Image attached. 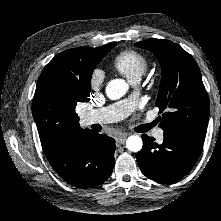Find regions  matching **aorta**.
<instances>
[{
  "mask_svg": "<svg viewBox=\"0 0 221 221\" xmlns=\"http://www.w3.org/2000/svg\"><path fill=\"white\" fill-rule=\"evenodd\" d=\"M128 84L123 79H113L106 86V95L111 100H117L125 95ZM143 141L138 135H131L127 138L126 147L131 152H139L142 149Z\"/></svg>",
  "mask_w": 221,
  "mask_h": 221,
  "instance_id": "obj_1",
  "label": "aorta"
}]
</instances>
